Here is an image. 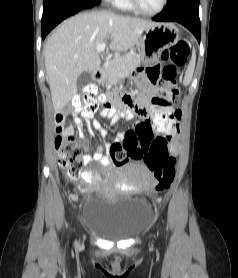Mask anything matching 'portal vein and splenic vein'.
<instances>
[{
  "mask_svg": "<svg viewBox=\"0 0 238 278\" xmlns=\"http://www.w3.org/2000/svg\"><path fill=\"white\" fill-rule=\"evenodd\" d=\"M105 48H106V43H101V44H99V45L96 47V50H97L98 52H101V51H104Z\"/></svg>",
  "mask_w": 238,
  "mask_h": 278,
  "instance_id": "18ae733b",
  "label": "portal vein and splenic vein"
}]
</instances>
